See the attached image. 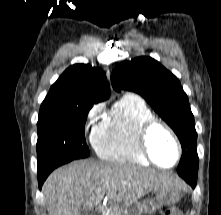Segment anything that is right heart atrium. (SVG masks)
I'll use <instances>...</instances> for the list:
<instances>
[{
  "label": "right heart atrium",
  "mask_w": 221,
  "mask_h": 215,
  "mask_svg": "<svg viewBox=\"0 0 221 215\" xmlns=\"http://www.w3.org/2000/svg\"><path fill=\"white\" fill-rule=\"evenodd\" d=\"M101 110V105L93 106L87 114V123L92 124L98 118L99 114L101 113Z\"/></svg>",
  "instance_id": "1"
}]
</instances>
